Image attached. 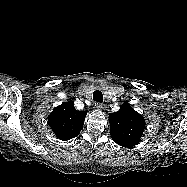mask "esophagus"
Wrapping results in <instances>:
<instances>
[{
  "label": "esophagus",
  "instance_id": "1",
  "mask_svg": "<svg viewBox=\"0 0 187 187\" xmlns=\"http://www.w3.org/2000/svg\"><path fill=\"white\" fill-rule=\"evenodd\" d=\"M96 108L98 109V110H100V111H103V110H105V105L104 104H101V103H97L96 104Z\"/></svg>",
  "mask_w": 187,
  "mask_h": 187
}]
</instances>
